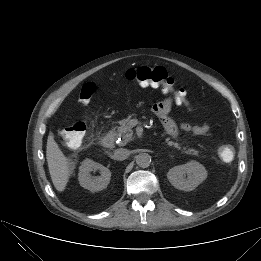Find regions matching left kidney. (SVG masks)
I'll list each match as a JSON object with an SVG mask.
<instances>
[{"label":"left kidney","instance_id":"left-kidney-1","mask_svg":"<svg viewBox=\"0 0 261 261\" xmlns=\"http://www.w3.org/2000/svg\"><path fill=\"white\" fill-rule=\"evenodd\" d=\"M167 178L175 188L192 191L207 178V171L199 162L191 161L171 168Z\"/></svg>","mask_w":261,"mask_h":261}]
</instances>
